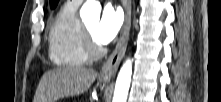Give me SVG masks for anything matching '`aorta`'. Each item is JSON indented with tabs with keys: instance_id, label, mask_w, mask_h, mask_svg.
<instances>
[{
	"instance_id": "1",
	"label": "aorta",
	"mask_w": 221,
	"mask_h": 102,
	"mask_svg": "<svg viewBox=\"0 0 221 102\" xmlns=\"http://www.w3.org/2000/svg\"><path fill=\"white\" fill-rule=\"evenodd\" d=\"M101 5L98 0H86L80 9L82 20L98 18ZM132 76V60L127 59L121 67L115 85L112 102H126Z\"/></svg>"
}]
</instances>
